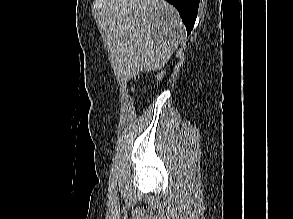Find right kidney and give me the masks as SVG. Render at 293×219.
<instances>
[{"instance_id": "ca27d5eb", "label": "right kidney", "mask_w": 293, "mask_h": 219, "mask_svg": "<svg viewBox=\"0 0 293 219\" xmlns=\"http://www.w3.org/2000/svg\"><path fill=\"white\" fill-rule=\"evenodd\" d=\"M164 75V72H161L157 75V80H161Z\"/></svg>"}]
</instances>
